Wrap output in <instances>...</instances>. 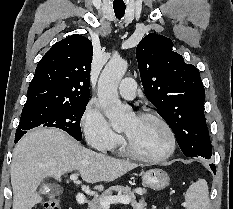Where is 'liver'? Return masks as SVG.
Segmentation results:
<instances>
[{"mask_svg": "<svg viewBox=\"0 0 233 209\" xmlns=\"http://www.w3.org/2000/svg\"><path fill=\"white\" fill-rule=\"evenodd\" d=\"M137 164L85 148L65 132L38 128L27 133L15 146L11 163L13 209H32L42 201L37 192L41 181H61L65 173L78 170L88 183L114 181Z\"/></svg>", "mask_w": 233, "mask_h": 209, "instance_id": "obj_1", "label": "liver"}]
</instances>
